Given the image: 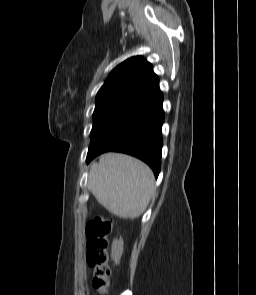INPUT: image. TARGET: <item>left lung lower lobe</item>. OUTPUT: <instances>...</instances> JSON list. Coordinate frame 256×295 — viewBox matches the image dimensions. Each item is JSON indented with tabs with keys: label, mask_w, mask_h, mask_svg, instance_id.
Here are the masks:
<instances>
[{
	"label": "left lung lower lobe",
	"mask_w": 256,
	"mask_h": 295,
	"mask_svg": "<svg viewBox=\"0 0 256 295\" xmlns=\"http://www.w3.org/2000/svg\"><path fill=\"white\" fill-rule=\"evenodd\" d=\"M163 95L142 106L89 147L86 162L99 154L115 151L135 156L146 162L158 177L161 164L164 120Z\"/></svg>",
	"instance_id": "left-lung-lower-lobe-1"
}]
</instances>
